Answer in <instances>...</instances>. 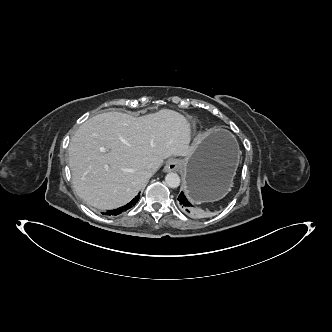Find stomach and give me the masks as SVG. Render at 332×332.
Masks as SVG:
<instances>
[{
    "label": "stomach",
    "mask_w": 332,
    "mask_h": 332,
    "mask_svg": "<svg viewBox=\"0 0 332 332\" xmlns=\"http://www.w3.org/2000/svg\"><path fill=\"white\" fill-rule=\"evenodd\" d=\"M239 159V146L230 132L220 129L203 135L195 151L180 160L188 199L200 204L225 197Z\"/></svg>",
    "instance_id": "0dacf381"
}]
</instances>
